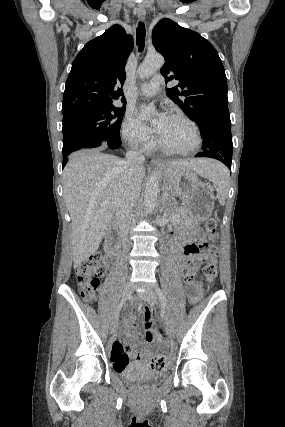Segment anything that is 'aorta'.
I'll list each match as a JSON object with an SVG mask.
<instances>
[{
  "instance_id": "1",
  "label": "aorta",
  "mask_w": 285,
  "mask_h": 427,
  "mask_svg": "<svg viewBox=\"0 0 285 427\" xmlns=\"http://www.w3.org/2000/svg\"><path fill=\"white\" fill-rule=\"evenodd\" d=\"M164 65V57L159 53L149 54L138 68L140 78H149ZM150 109V108H149ZM159 193V177L156 173L149 176L144 194V209L146 214L152 212Z\"/></svg>"
}]
</instances>
